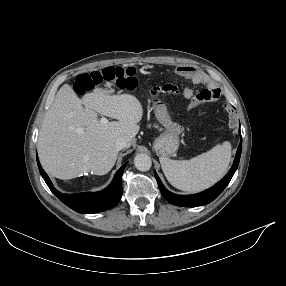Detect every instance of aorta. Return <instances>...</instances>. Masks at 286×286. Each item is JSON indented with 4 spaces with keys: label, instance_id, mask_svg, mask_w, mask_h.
<instances>
[{
    "label": "aorta",
    "instance_id": "aorta-1",
    "mask_svg": "<svg viewBox=\"0 0 286 286\" xmlns=\"http://www.w3.org/2000/svg\"><path fill=\"white\" fill-rule=\"evenodd\" d=\"M134 165L139 171H148L152 166L149 155L140 153L134 157Z\"/></svg>",
    "mask_w": 286,
    "mask_h": 286
}]
</instances>
